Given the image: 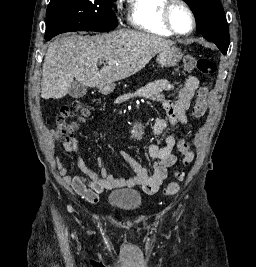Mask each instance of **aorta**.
I'll list each match as a JSON object with an SVG mask.
<instances>
[{
    "instance_id": "aorta-1",
    "label": "aorta",
    "mask_w": 256,
    "mask_h": 267,
    "mask_svg": "<svg viewBox=\"0 0 256 267\" xmlns=\"http://www.w3.org/2000/svg\"><path fill=\"white\" fill-rule=\"evenodd\" d=\"M146 133H148V128H133L131 138H146Z\"/></svg>"
}]
</instances>
